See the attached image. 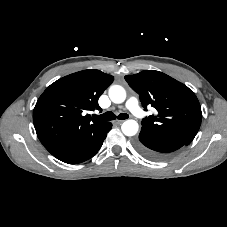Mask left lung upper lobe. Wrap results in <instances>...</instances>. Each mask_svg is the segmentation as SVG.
<instances>
[{"instance_id": "obj_1", "label": "left lung upper lobe", "mask_w": 227, "mask_h": 227, "mask_svg": "<svg viewBox=\"0 0 227 227\" xmlns=\"http://www.w3.org/2000/svg\"><path fill=\"white\" fill-rule=\"evenodd\" d=\"M125 80L139 94L143 107L158 114L145 117L142 130L167 136L189 145L196 136L202 112L194 92L172 77L155 70L127 75Z\"/></svg>"}]
</instances>
